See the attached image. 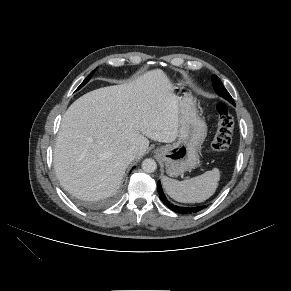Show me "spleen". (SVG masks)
Returning a JSON list of instances; mask_svg holds the SVG:
<instances>
[{
  "label": "spleen",
  "instance_id": "obj_1",
  "mask_svg": "<svg viewBox=\"0 0 291 291\" xmlns=\"http://www.w3.org/2000/svg\"><path fill=\"white\" fill-rule=\"evenodd\" d=\"M220 180V171L214 168L202 175L184 181H177L166 176L162 178L166 193L174 200L182 203L203 202L211 197Z\"/></svg>",
  "mask_w": 291,
  "mask_h": 291
}]
</instances>
